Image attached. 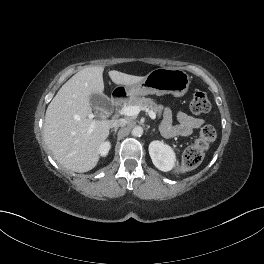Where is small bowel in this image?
I'll list each match as a JSON object with an SVG mask.
<instances>
[{"instance_id": "1", "label": "small bowel", "mask_w": 264, "mask_h": 264, "mask_svg": "<svg viewBox=\"0 0 264 264\" xmlns=\"http://www.w3.org/2000/svg\"><path fill=\"white\" fill-rule=\"evenodd\" d=\"M175 117L177 123L173 124V112L168 107L163 108L161 128L164 136H187L204 123L203 119L191 116L182 111L177 112Z\"/></svg>"}]
</instances>
